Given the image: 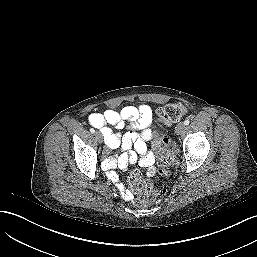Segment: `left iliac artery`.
<instances>
[{"mask_svg":"<svg viewBox=\"0 0 257 257\" xmlns=\"http://www.w3.org/2000/svg\"><path fill=\"white\" fill-rule=\"evenodd\" d=\"M189 123H190V120H189V119H187V120L184 121V124H185V125H189Z\"/></svg>","mask_w":257,"mask_h":257,"instance_id":"left-iliac-artery-1","label":"left iliac artery"}]
</instances>
